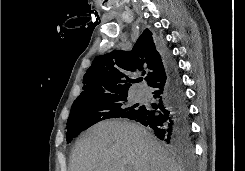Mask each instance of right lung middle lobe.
Masks as SVG:
<instances>
[{"instance_id": "1", "label": "right lung middle lobe", "mask_w": 245, "mask_h": 171, "mask_svg": "<svg viewBox=\"0 0 245 171\" xmlns=\"http://www.w3.org/2000/svg\"><path fill=\"white\" fill-rule=\"evenodd\" d=\"M127 94L96 100L74 101L67 121V142L95 123L109 118L132 119L141 110L139 104L127 103Z\"/></svg>"}]
</instances>
